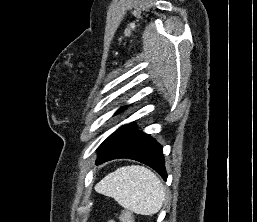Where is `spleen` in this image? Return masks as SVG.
Returning <instances> with one entry per match:
<instances>
[{
  "label": "spleen",
  "instance_id": "spleen-1",
  "mask_svg": "<svg viewBox=\"0 0 257 222\" xmlns=\"http://www.w3.org/2000/svg\"><path fill=\"white\" fill-rule=\"evenodd\" d=\"M95 190L140 215L157 213L165 199V188L159 178L139 165L116 169L97 183Z\"/></svg>",
  "mask_w": 257,
  "mask_h": 222
}]
</instances>
